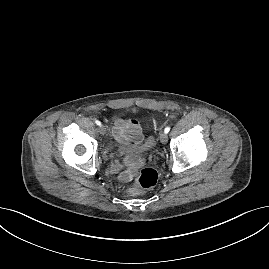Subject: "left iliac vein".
I'll list each match as a JSON object with an SVG mask.
<instances>
[{
	"label": "left iliac vein",
	"mask_w": 269,
	"mask_h": 269,
	"mask_svg": "<svg viewBox=\"0 0 269 269\" xmlns=\"http://www.w3.org/2000/svg\"><path fill=\"white\" fill-rule=\"evenodd\" d=\"M159 137H160V141H161L163 144L167 143V141H168L167 133H165V132H161L160 135H159Z\"/></svg>",
	"instance_id": "left-iliac-vein-1"
}]
</instances>
